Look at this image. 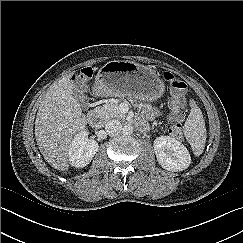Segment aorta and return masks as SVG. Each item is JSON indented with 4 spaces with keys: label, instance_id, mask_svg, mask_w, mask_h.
Instances as JSON below:
<instances>
[{
    "label": "aorta",
    "instance_id": "1",
    "mask_svg": "<svg viewBox=\"0 0 243 243\" xmlns=\"http://www.w3.org/2000/svg\"><path fill=\"white\" fill-rule=\"evenodd\" d=\"M123 133L125 135H131L133 133V126L130 124H127L123 127Z\"/></svg>",
    "mask_w": 243,
    "mask_h": 243
}]
</instances>
